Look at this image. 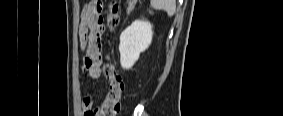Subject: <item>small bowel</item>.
Masks as SVG:
<instances>
[{"label": "small bowel", "mask_w": 283, "mask_h": 116, "mask_svg": "<svg viewBox=\"0 0 283 116\" xmlns=\"http://www.w3.org/2000/svg\"><path fill=\"white\" fill-rule=\"evenodd\" d=\"M101 9L102 1H89L81 12L79 25L80 46L82 50H85L82 72L92 80L101 76V42L104 33ZM82 108L85 116H105L102 107H93V100L90 96L85 98Z\"/></svg>", "instance_id": "obj_1"}]
</instances>
